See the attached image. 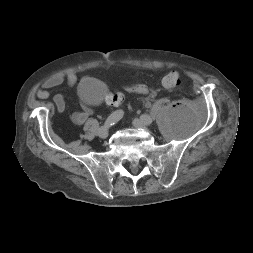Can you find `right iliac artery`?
<instances>
[{"label":"right iliac artery","mask_w":253,"mask_h":253,"mask_svg":"<svg viewBox=\"0 0 253 253\" xmlns=\"http://www.w3.org/2000/svg\"><path fill=\"white\" fill-rule=\"evenodd\" d=\"M124 115L123 110H117L113 112L105 121V126L109 127L117 123Z\"/></svg>","instance_id":"1"}]
</instances>
